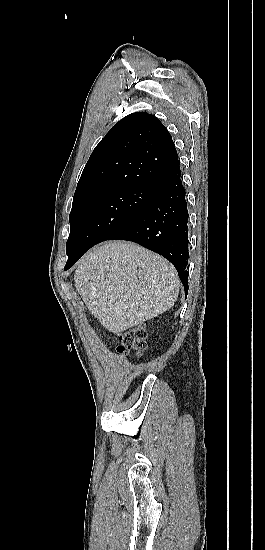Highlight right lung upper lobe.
Instances as JSON below:
<instances>
[{
  "mask_svg": "<svg viewBox=\"0 0 265 550\" xmlns=\"http://www.w3.org/2000/svg\"><path fill=\"white\" fill-rule=\"evenodd\" d=\"M179 163L166 127L146 112L120 120L93 150L77 184L73 203L136 185H158Z\"/></svg>",
  "mask_w": 265,
  "mask_h": 550,
  "instance_id": "right-lung-upper-lobe-1",
  "label": "right lung upper lobe"
}]
</instances>
